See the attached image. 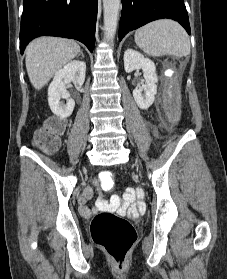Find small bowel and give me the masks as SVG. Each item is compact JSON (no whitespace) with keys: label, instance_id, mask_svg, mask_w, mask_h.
<instances>
[{"label":"small bowel","instance_id":"obj_1","mask_svg":"<svg viewBox=\"0 0 227 279\" xmlns=\"http://www.w3.org/2000/svg\"><path fill=\"white\" fill-rule=\"evenodd\" d=\"M95 190L99 193L95 205L93 207L84 205L93 196ZM135 191L138 192V189H135ZM79 201L82 205L79 206L78 210L83 216H89L92 212L99 210H117L119 213L135 217L145 208V203L141 200L134 201L133 196L125 195V198L121 200L118 195H113L110 199H107L96 184L88 187L79 197Z\"/></svg>","mask_w":227,"mask_h":279}]
</instances>
